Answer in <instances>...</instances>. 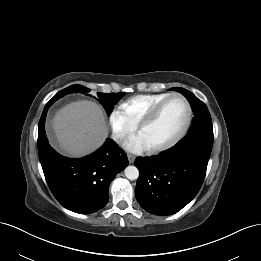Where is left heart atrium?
I'll list each match as a JSON object with an SVG mask.
<instances>
[{
	"instance_id": "left-heart-atrium-1",
	"label": "left heart atrium",
	"mask_w": 261,
	"mask_h": 261,
	"mask_svg": "<svg viewBox=\"0 0 261 261\" xmlns=\"http://www.w3.org/2000/svg\"><path fill=\"white\" fill-rule=\"evenodd\" d=\"M125 148L131 152H141L147 148L142 137L138 134L130 137L124 144Z\"/></svg>"
}]
</instances>
